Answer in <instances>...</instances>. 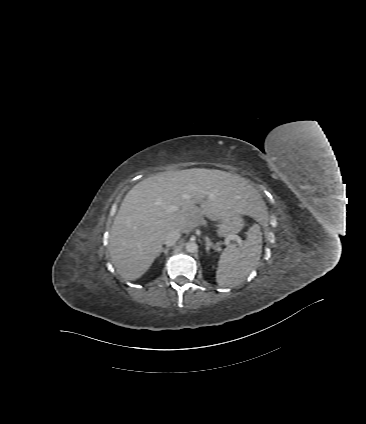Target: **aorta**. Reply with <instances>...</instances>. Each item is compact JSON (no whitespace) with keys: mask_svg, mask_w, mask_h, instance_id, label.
<instances>
[{"mask_svg":"<svg viewBox=\"0 0 366 424\" xmlns=\"http://www.w3.org/2000/svg\"><path fill=\"white\" fill-rule=\"evenodd\" d=\"M185 248H186V251L190 253H195L198 250V245L194 241H189L186 243Z\"/></svg>","mask_w":366,"mask_h":424,"instance_id":"1","label":"aorta"}]
</instances>
